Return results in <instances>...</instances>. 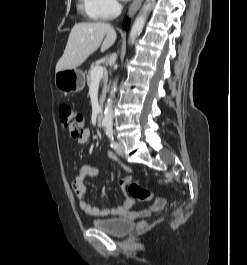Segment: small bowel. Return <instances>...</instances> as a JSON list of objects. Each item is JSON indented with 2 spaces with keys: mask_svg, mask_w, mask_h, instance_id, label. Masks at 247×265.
<instances>
[{
  "mask_svg": "<svg viewBox=\"0 0 247 265\" xmlns=\"http://www.w3.org/2000/svg\"><path fill=\"white\" fill-rule=\"evenodd\" d=\"M90 137V131L85 130L83 137L79 140L80 144H85ZM110 159L117 160L115 155L111 152L107 153ZM127 170L129 167L123 165ZM98 171L92 165H82L79 167L78 176L72 183V188L78 198V203L83 212L91 216H127L130 218L148 217L154 213L161 211L165 205V200L163 198H157L153 205L148 209H143L141 211H131L134 204V200L127 197L123 203L117 207H112L108 209H102L91 205L86 199V181L97 177Z\"/></svg>",
  "mask_w": 247,
  "mask_h": 265,
  "instance_id": "1",
  "label": "small bowel"
}]
</instances>
